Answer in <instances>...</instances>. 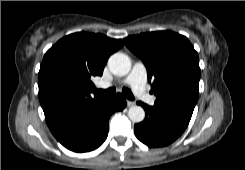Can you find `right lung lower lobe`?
Instances as JSON below:
<instances>
[{
  "mask_svg": "<svg viewBox=\"0 0 245 170\" xmlns=\"http://www.w3.org/2000/svg\"><path fill=\"white\" fill-rule=\"evenodd\" d=\"M126 107L121 94L103 98L79 115L55 138L74 152H88L98 148L108 135L110 116Z\"/></svg>",
  "mask_w": 245,
  "mask_h": 170,
  "instance_id": "98d812e1",
  "label": "right lung lower lobe"
}]
</instances>
